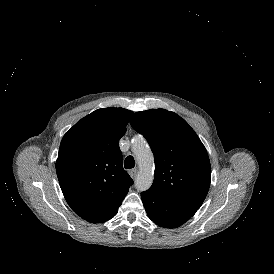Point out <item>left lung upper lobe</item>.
I'll return each instance as SVG.
<instances>
[{"label":"left lung upper lobe","instance_id":"obj_1","mask_svg":"<svg viewBox=\"0 0 274 274\" xmlns=\"http://www.w3.org/2000/svg\"><path fill=\"white\" fill-rule=\"evenodd\" d=\"M130 124L147 139L154 153L155 177L149 191L171 203L198 210L209 190L211 166L194 130L165 109L137 112Z\"/></svg>","mask_w":274,"mask_h":274}]
</instances>
